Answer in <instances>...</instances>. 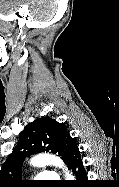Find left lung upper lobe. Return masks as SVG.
<instances>
[{
  "label": "left lung upper lobe",
  "mask_w": 119,
  "mask_h": 187,
  "mask_svg": "<svg viewBox=\"0 0 119 187\" xmlns=\"http://www.w3.org/2000/svg\"><path fill=\"white\" fill-rule=\"evenodd\" d=\"M76 144L67 127L52 118H41L29 123L1 167L0 187H20L26 183L20 180L25 157L46 151L58 154L67 164L71 149Z\"/></svg>",
  "instance_id": "obj_1"
}]
</instances>
